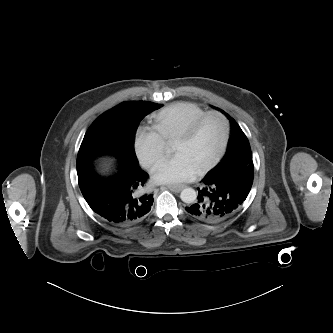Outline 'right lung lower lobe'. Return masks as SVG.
I'll return each mask as SVG.
<instances>
[{"mask_svg":"<svg viewBox=\"0 0 333 333\" xmlns=\"http://www.w3.org/2000/svg\"><path fill=\"white\" fill-rule=\"evenodd\" d=\"M80 190L91 209L108 222L128 226L143 220L153 205V195L143 192L148 174L139 165L119 161L110 176L94 171L91 158L77 159Z\"/></svg>","mask_w":333,"mask_h":333,"instance_id":"98d812e1","label":"right lung lower lobe"}]
</instances>
